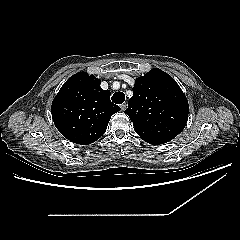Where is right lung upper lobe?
Returning <instances> with one entry per match:
<instances>
[{"label":"right lung upper lobe","mask_w":240,"mask_h":240,"mask_svg":"<svg viewBox=\"0 0 240 240\" xmlns=\"http://www.w3.org/2000/svg\"><path fill=\"white\" fill-rule=\"evenodd\" d=\"M100 79L85 72L71 76L55 96L52 119L68 140L88 145L106 131L111 115L120 107L110 100V91L102 90Z\"/></svg>","instance_id":"right-lung-upper-lobe-1"}]
</instances>
